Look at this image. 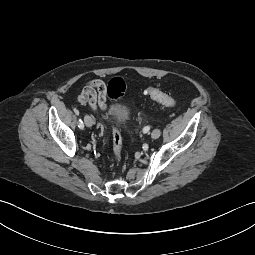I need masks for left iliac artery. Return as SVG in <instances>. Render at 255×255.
<instances>
[{"label":"left iliac artery","instance_id":"1","mask_svg":"<svg viewBox=\"0 0 255 255\" xmlns=\"http://www.w3.org/2000/svg\"><path fill=\"white\" fill-rule=\"evenodd\" d=\"M149 129H151V126H145L143 129V132L147 133Z\"/></svg>","mask_w":255,"mask_h":255}]
</instances>
